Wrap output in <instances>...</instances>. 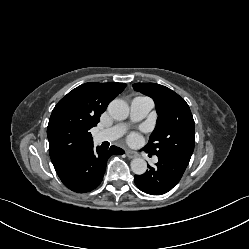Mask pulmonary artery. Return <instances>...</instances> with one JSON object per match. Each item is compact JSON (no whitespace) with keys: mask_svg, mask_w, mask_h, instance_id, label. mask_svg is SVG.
Segmentation results:
<instances>
[{"mask_svg":"<svg viewBox=\"0 0 249 249\" xmlns=\"http://www.w3.org/2000/svg\"><path fill=\"white\" fill-rule=\"evenodd\" d=\"M153 108V101L149 97L138 96L131 100L130 118L132 121L142 120ZM126 130L124 124H117L113 127L104 129L96 134L98 142L113 141L123 135ZM154 161H157L155 158Z\"/></svg>","mask_w":249,"mask_h":249,"instance_id":"pulmonary-artery-1","label":"pulmonary artery"}]
</instances>
